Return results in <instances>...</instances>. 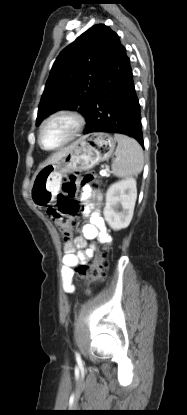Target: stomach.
<instances>
[{
  "label": "stomach",
  "mask_w": 187,
  "mask_h": 415,
  "mask_svg": "<svg viewBox=\"0 0 187 415\" xmlns=\"http://www.w3.org/2000/svg\"><path fill=\"white\" fill-rule=\"evenodd\" d=\"M115 146L116 140L112 135L103 132L92 133L75 141L62 159L41 166L34 174L29 190L32 202L38 207L51 204L64 175L90 169L109 159Z\"/></svg>",
  "instance_id": "stomach-1"
}]
</instances>
